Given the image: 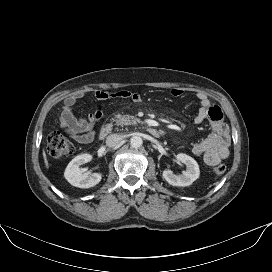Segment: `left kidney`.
<instances>
[{"mask_svg": "<svg viewBox=\"0 0 272 272\" xmlns=\"http://www.w3.org/2000/svg\"><path fill=\"white\" fill-rule=\"evenodd\" d=\"M176 159L186 165V171L182 174H174L171 170H164L162 172L163 178L173 186H189L199 178L200 170L198 163L189 155L179 153Z\"/></svg>", "mask_w": 272, "mask_h": 272, "instance_id": "1", "label": "left kidney"}]
</instances>
